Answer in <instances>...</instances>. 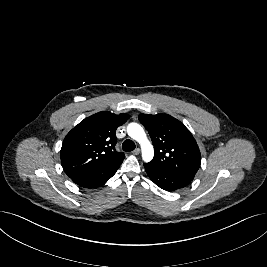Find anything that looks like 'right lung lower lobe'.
<instances>
[{
	"label": "right lung lower lobe",
	"mask_w": 267,
	"mask_h": 267,
	"mask_svg": "<svg viewBox=\"0 0 267 267\" xmlns=\"http://www.w3.org/2000/svg\"><path fill=\"white\" fill-rule=\"evenodd\" d=\"M122 162L112 163L79 176L71 178L76 184L84 188H96L104 185L118 170Z\"/></svg>",
	"instance_id": "98d812e1"
}]
</instances>
